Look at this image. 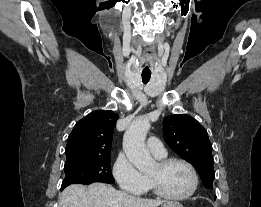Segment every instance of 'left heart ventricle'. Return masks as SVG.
Wrapping results in <instances>:
<instances>
[{
    "mask_svg": "<svg viewBox=\"0 0 261 207\" xmlns=\"http://www.w3.org/2000/svg\"><path fill=\"white\" fill-rule=\"evenodd\" d=\"M161 188L169 194L181 195L191 187V175L188 169L181 164H172L166 168H160L158 164L149 171Z\"/></svg>",
    "mask_w": 261,
    "mask_h": 207,
    "instance_id": "b2bd125f",
    "label": "left heart ventricle"
}]
</instances>
